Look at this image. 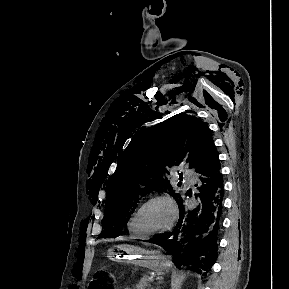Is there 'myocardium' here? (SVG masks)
<instances>
[{"label":"myocardium","instance_id":"1","mask_svg":"<svg viewBox=\"0 0 289 289\" xmlns=\"http://www.w3.org/2000/svg\"><path fill=\"white\" fill-rule=\"evenodd\" d=\"M157 200L164 201L169 205L171 212H172L171 220L166 227H164L160 230L153 231V232H143L137 226L138 216H139L140 212L142 211V209L146 205H148L149 203H151L153 201H157ZM177 218H178V208H177L175 201L169 195L155 194V195H152V196L148 197L147 199H145L138 206V208L135 210V212L132 215V227L140 236L152 237V236H157V235H161V234H165V233L169 232L173 228V226L175 225Z\"/></svg>","mask_w":289,"mask_h":289}]
</instances>
